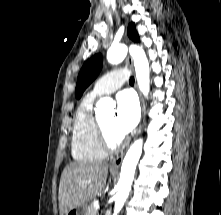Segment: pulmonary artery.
<instances>
[{
    "label": "pulmonary artery",
    "mask_w": 221,
    "mask_h": 215,
    "mask_svg": "<svg viewBox=\"0 0 221 215\" xmlns=\"http://www.w3.org/2000/svg\"><path fill=\"white\" fill-rule=\"evenodd\" d=\"M129 72L126 69L113 70L101 77L94 85L91 95L94 97L110 94L128 80Z\"/></svg>",
    "instance_id": "obj_1"
}]
</instances>
